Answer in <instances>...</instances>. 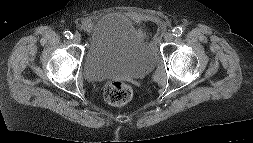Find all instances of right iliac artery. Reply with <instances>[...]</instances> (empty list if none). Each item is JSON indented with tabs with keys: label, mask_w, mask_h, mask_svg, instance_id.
Returning <instances> with one entry per match:
<instances>
[{
	"label": "right iliac artery",
	"mask_w": 253,
	"mask_h": 143,
	"mask_svg": "<svg viewBox=\"0 0 253 143\" xmlns=\"http://www.w3.org/2000/svg\"><path fill=\"white\" fill-rule=\"evenodd\" d=\"M64 35H65V37H66L67 39H70V38L73 37V34H72L70 31H65V32H64Z\"/></svg>",
	"instance_id": "1"
}]
</instances>
